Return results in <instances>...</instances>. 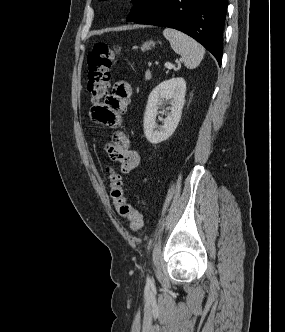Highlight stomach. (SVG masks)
I'll use <instances>...</instances> for the list:
<instances>
[{"mask_svg": "<svg viewBox=\"0 0 285 332\" xmlns=\"http://www.w3.org/2000/svg\"><path fill=\"white\" fill-rule=\"evenodd\" d=\"M154 45L153 41H146L143 45H142V49L143 50H149L151 49V47Z\"/></svg>", "mask_w": 285, "mask_h": 332, "instance_id": "obj_1", "label": "stomach"}]
</instances>
